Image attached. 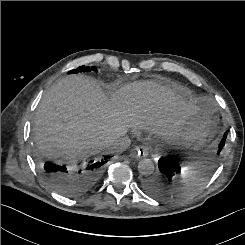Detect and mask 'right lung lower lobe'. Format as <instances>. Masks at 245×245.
<instances>
[{
	"label": "right lung lower lobe",
	"instance_id": "98d812e1",
	"mask_svg": "<svg viewBox=\"0 0 245 245\" xmlns=\"http://www.w3.org/2000/svg\"><path fill=\"white\" fill-rule=\"evenodd\" d=\"M110 157L90 161L67 168L50 162H39V169L47 183L58 193L74 198L85 194L100 176L104 164Z\"/></svg>",
	"mask_w": 245,
	"mask_h": 245
}]
</instances>
